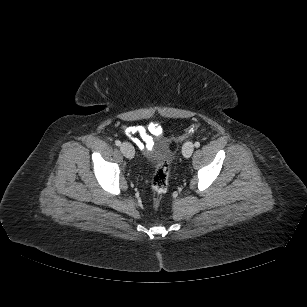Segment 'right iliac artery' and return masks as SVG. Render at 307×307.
Wrapping results in <instances>:
<instances>
[{
  "instance_id": "right-iliac-artery-1",
  "label": "right iliac artery",
  "mask_w": 307,
  "mask_h": 307,
  "mask_svg": "<svg viewBox=\"0 0 307 307\" xmlns=\"http://www.w3.org/2000/svg\"><path fill=\"white\" fill-rule=\"evenodd\" d=\"M115 145H116V146H121V142H120L119 140H116V141H115Z\"/></svg>"
}]
</instances>
